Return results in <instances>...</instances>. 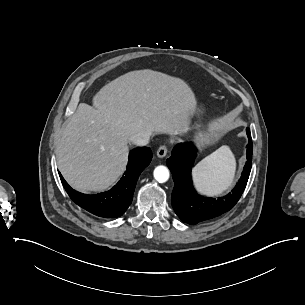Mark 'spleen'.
I'll return each instance as SVG.
<instances>
[{
  "instance_id": "3e777b00",
  "label": "spleen",
  "mask_w": 305,
  "mask_h": 305,
  "mask_svg": "<svg viewBox=\"0 0 305 305\" xmlns=\"http://www.w3.org/2000/svg\"><path fill=\"white\" fill-rule=\"evenodd\" d=\"M235 171L232 151L227 145L221 146L193 168L194 185L201 194L219 196L232 186Z\"/></svg>"
}]
</instances>
